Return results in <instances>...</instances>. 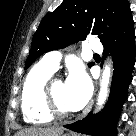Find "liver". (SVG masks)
<instances>
[{
    "instance_id": "6515ba94",
    "label": "liver",
    "mask_w": 136,
    "mask_h": 136,
    "mask_svg": "<svg viewBox=\"0 0 136 136\" xmlns=\"http://www.w3.org/2000/svg\"><path fill=\"white\" fill-rule=\"evenodd\" d=\"M62 132L61 128H28L21 130L15 134V136H56Z\"/></svg>"
}]
</instances>
